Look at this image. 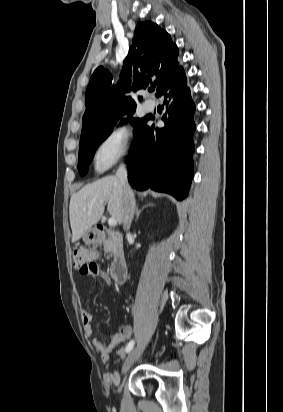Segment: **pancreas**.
<instances>
[{
	"label": "pancreas",
	"instance_id": "obj_1",
	"mask_svg": "<svg viewBox=\"0 0 283 412\" xmlns=\"http://www.w3.org/2000/svg\"><path fill=\"white\" fill-rule=\"evenodd\" d=\"M104 251L108 254L107 259H109L112 256V248L109 241L104 242Z\"/></svg>",
	"mask_w": 283,
	"mask_h": 412
}]
</instances>
